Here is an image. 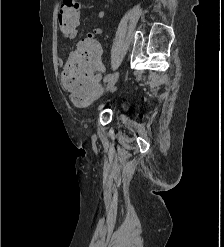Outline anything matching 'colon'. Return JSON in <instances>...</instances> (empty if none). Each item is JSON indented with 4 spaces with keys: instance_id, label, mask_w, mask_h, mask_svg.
<instances>
[{
    "instance_id": "1",
    "label": "colon",
    "mask_w": 224,
    "mask_h": 247,
    "mask_svg": "<svg viewBox=\"0 0 224 247\" xmlns=\"http://www.w3.org/2000/svg\"><path fill=\"white\" fill-rule=\"evenodd\" d=\"M78 25V3L76 0H63L58 12V26L61 33L69 36ZM103 72L99 44L96 41H84L79 44L63 67L62 82L71 92L75 103L87 106L93 101L100 88Z\"/></svg>"
}]
</instances>
